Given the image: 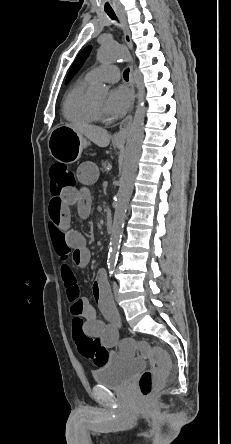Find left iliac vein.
Listing matches in <instances>:
<instances>
[{
  "label": "left iliac vein",
  "mask_w": 231,
  "mask_h": 444,
  "mask_svg": "<svg viewBox=\"0 0 231 444\" xmlns=\"http://www.w3.org/2000/svg\"><path fill=\"white\" fill-rule=\"evenodd\" d=\"M113 293L116 299L119 297V286L117 283H113Z\"/></svg>",
  "instance_id": "obj_1"
}]
</instances>
